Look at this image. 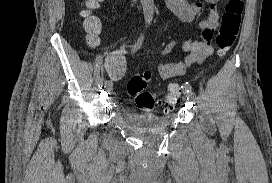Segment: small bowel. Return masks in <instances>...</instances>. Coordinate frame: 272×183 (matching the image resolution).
I'll return each mask as SVG.
<instances>
[{"mask_svg": "<svg viewBox=\"0 0 272 183\" xmlns=\"http://www.w3.org/2000/svg\"><path fill=\"white\" fill-rule=\"evenodd\" d=\"M219 1L221 0H167L170 11L184 23H192L205 4L210 5V12L207 18L199 23V27L202 30L201 40H190L182 43L172 41L166 45L164 52H169L173 48L179 47L183 50H189L191 54L185 62H166L161 64L158 71L162 80L167 81L182 75L187 66L194 63H202L213 54V47L210 43H213V36H216L217 33L211 30L218 29L219 13L215 5ZM125 69L126 61L123 51H114L107 58V71L110 77L115 80L120 79L124 75ZM173 87L175 86H170V88Z\"/></svg>", "mask_w": 272, "mask_h": 183, "instance_id": "c3829d8e", "label": "small bowel"}]
</instances>
